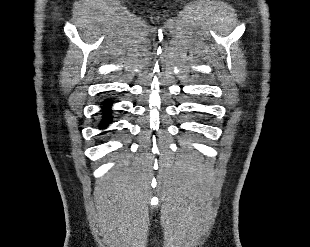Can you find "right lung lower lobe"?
<instances>
[{"label": "right lung lower lobe", "instance_id": "right-lung-lower-lobe-1", "mask_svg": "<svg viewBox=\"0 0 310 247\" xmlns=\"http://www.w3.org/2000/svg\"><path fill=\"white\" fill-rule=\"evenodd\" d=\"M110 103H111L110 100L106 101V106L104 107V113H105V115H104L103 120H102V122H101V127H103V128H104L105 126H107L108 123L111 122V117L108 115L109 108H110V106H108V105H109Z\"/></svg>", "mask_w": 310, "mask_h": 247}]
</instances>
